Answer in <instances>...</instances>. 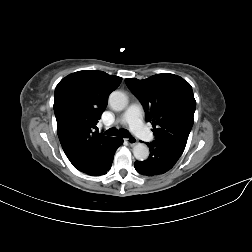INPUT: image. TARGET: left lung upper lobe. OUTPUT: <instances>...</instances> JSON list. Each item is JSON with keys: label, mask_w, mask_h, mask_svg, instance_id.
Here are the masks:
<instances>
[{"label": "left lung upper lobe", "mask_w": 252, "mask_h": 252, "mask_svg": "<svg viewBox=\"0 0 252 252\" xmlns=\"http://www.w3.org/2000/svg\"><path fill=\"white\" fill-rule=\"evenodd\" d=\"M125 82L143 105L146 121L152 123L155 141L184 151L196 108L191 85L169 73L144 80L127 78Z\"/></svg>", "instance_id": "5c2ea615"}]
</instances>
